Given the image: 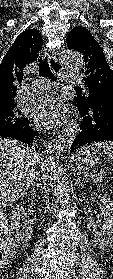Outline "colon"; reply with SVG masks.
Masks as SVG:
<instances>
[{"instance_id":"colon-1","label":"colon","mask_w":113,"mask_h":279,"mask_svg":"<svg viewBox=\"0 0 113 279\" xmlns=\"http://www.w3.org/2000/svg\"><path fill=\"white\" fill-rule=\"evenodd\" d=\"M13 252V240L7 219L0 212V262L9 259Z\"/></svg>"}]
</instances>
